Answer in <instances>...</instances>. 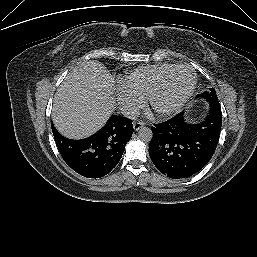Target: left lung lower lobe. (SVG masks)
<instances>
[{
	"label": "left lung lower lobe",
	"instance_id": "1",
	"mask_svg": "<svg viewBox=\"0 0 257 257\" xmlns=\"http://www.w3.org/2000/svg\"><path fill=\"white\" fill-rule=\"evenodd\" d=\"M222 126L220 105L209 103L208 115L189 122L184 112L155 124L149 154L156 168L172 179L198 173L213 156Z\"/></svg>",
	"mask_w": 257,
	"mask_h": 257
}]
</instances>
